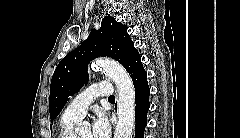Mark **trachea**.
Returning <instances> with one entry per match:
<instances>
[{"label": "trachea", "instance_id": "3493384b", "mask_svg": "<svg viewBox=\"0 0 240 138\" xmlns=\"http://www.w3.org/2000/svg\"><path fill=\"white\" fill-rule=\"evenodd\" d=\"M108 99H109V101L115 100V97L114 96H110Z\"/></svg>", "mask_w": 240, "mask_h": 138}]
</instances>
